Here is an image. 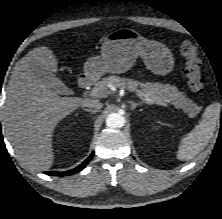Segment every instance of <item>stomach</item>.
<instances>
[{
  "label": "stomach",
  "instance_id": "obj_1",
  "mask_svg": "<svg viewBox=\"0 0 222 219\" xmlns=\"http://www.w3.org/2000/svg\"><path fill=\"white\" fill-rule=\"evenodd\" d=\"M139 56L154 74H168L174 67L173 54L166 45L146 39L135 30L122 28L105 37L101 55L85 62L84 74L97 80L105 73H124L132 68Z\"/></svg>",
  "mask_w": 222,
  "mask_h": 219
}]
</instances>
